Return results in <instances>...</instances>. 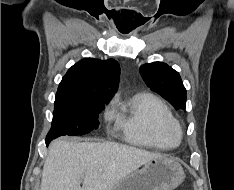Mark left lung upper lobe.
Segmentation results:
<instances>
[{"mask_svg":"<svg viewBox=\"0 0 234 190\" xmlns=\"http://www.w3.org/2000/svg\"><path fill=\"white\" fill-rule=\"evenodd\" d=\"M140 73L148 87L168 100L176 109H185L186 89L177 71L165 63L153 62L142 65Z\"/></svg>","mask_w":234,"mask_h":190,"instance_id":"1","label":"left lung upper lobe"}]
</instances>
